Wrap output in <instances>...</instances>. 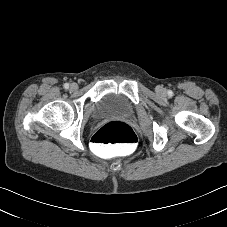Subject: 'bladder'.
Wrapping results in <instances>:
<instances>
[{
  "instance_id": "31cf9c89",
  "label": "bladder",
  "mask_w": 227,
  "mask_h": 227,
  "mask_svg": "<svg viewBox=\"0 0 227 227\" xmlns=\"http://www.w3.org/2000/svg\"><path fill=\"white\" fill-rule=\"evenodd\" d=\"M132 108L127 99L118 94H108L100 99L93 111L94 119L105 117H127L131 115Z\"/></svg>"
}]
</instances>
